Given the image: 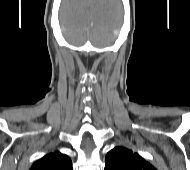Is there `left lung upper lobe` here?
I'll use <instances>...</instances> for the list:
<instances>
[{"mask_svg": "<svg viewBox=\"0 0 190 170\" xmlns=\"http://www.w3.org/2000/svg\"><path fill=\"white\" fill-rule=\"evenodd\" d=\"M105 170H157L138 153L117 146L105 158Z\"/></svg>", "mask_w": 190, "mask_h": 170, "instance_id": "obj_1", "label": "left lung upper lobe"}]
</instances>
